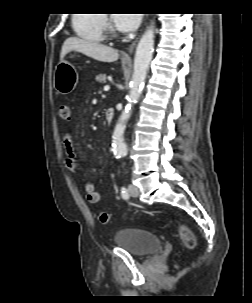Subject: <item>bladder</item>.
Instances as JSON below:
<instances>
[{
	"mask_svg": "<svg viewBox=\"0 0 252 303\" xmlns=\"http://www.w3.org/2000/svg\"><path fill=\"white\" fill-rule=\"evenodd\" d=\"M113 240L117 246L139 257H148L162 247V241L159 236L136 228L118 231Z\"/></svg>",
	"mask_w": 252,
	"mask_h": 303,
	"instance_id": "1",
	"label": "bladder"
}]
</instances>
